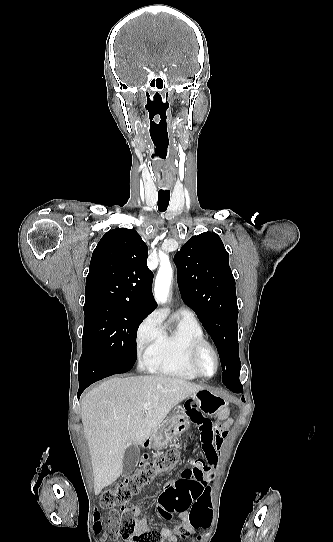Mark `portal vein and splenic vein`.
I'll use <instances>...</instances> for the list:
<instances>
[{
	"mask_svg": "<svg viewBox=\"0 0 333 542\" xmlns=\"http://www.w3.org/2000/svg\"><path fill=\"white\" fill-rule=\"evenodd\" d=\"M149 404H144V410H148Z\"/></svg>",
	"mask_w": 333,
	"mask_h": 542,
	"instance_id": "obj_1",
	"label": "portal vein and splenic vein"
}]
</instances>
